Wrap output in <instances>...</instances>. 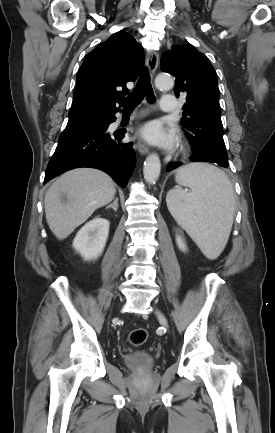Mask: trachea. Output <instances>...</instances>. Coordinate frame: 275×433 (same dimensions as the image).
<instances>
[{"mask_svg": "<svg viewBox=\"0 0 275 433\" xmlns=\"http://www.w3.org/2000/svg\"><path fill=\"white\" fill-rule=\"evenodd\" d=\"M145 96L148 102L153 103L155 101L150 76L146 70L141 74L134 91L123 101L124 110L133 111Z\"/></svg>", "mask_w": 275, "mask_h": 433, "instance_id": "trachea-1", "label": "trachea"}]
</instances>
